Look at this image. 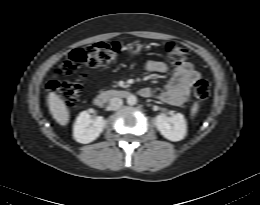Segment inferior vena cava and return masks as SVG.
Masks as SVG:
<instances>
[{"mask_svg": "<svg viewBox=\"0 0 260 205\" xmlns=\"http://www.w3.org/2000/svg\"><path fill=\"white\" fill-rule=\"evenodd\" d=\"M123 105V100L118 97L110 99L109 108L110 110H118Z\"/></svg>", "mask_w": 260, "mask_h": 205, "instance_id": "obj_1", "label": "inferior vena cava"}]
</instances>
